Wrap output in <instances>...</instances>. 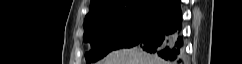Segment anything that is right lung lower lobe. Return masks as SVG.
Returning <instances> with one entry per match:
<instances>
[{
	"instance_id": "right-lung-lower-lobe-1",
	"label": "right lung lower lobe",
	"mask_w": 242,
	"mask_h": 64,
	"mask_svg": "<svg viewBox=\"0 0 242 64\" xmlns=\"http://www.w3.org/2000/svg\"><path fill=\"white\" fill-rule=\"evenodd\" d=\"M182 12L178 0L136 46L172 64L184 63Z\"/></svg>"
}]
</instances>
